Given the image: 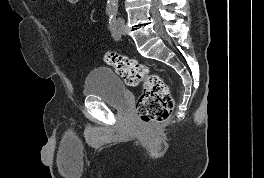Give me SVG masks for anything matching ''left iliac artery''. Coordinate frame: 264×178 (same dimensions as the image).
Listing matches in <instances>:
<instances>
[{"mask_svg": "<svg viewBox=\"0 0 264 178\" xmlns=\"http://www.w3.org/2000/svg\"><path fill=\"white\" fill-rule=\"evenodd\" d=\"M109 29L111 31L112 37L115 40H118L120 38V35H119V32L117 31V28H116V13L115 12L111 13V15H110Z\"/></svg>", "mask_w": 264, "mask_h": 178, "instance_id": "1", "label": "left iliac artery"}]
</instances>
